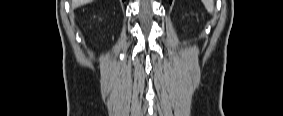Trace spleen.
<instances>
[{"label":"spleen","instance_id":"obj_1","mask_svg":"<svg viewBox=\"0 0 283 116\" xmlns=\"http://www.w3.org/2000/svg\"><path fill=\"white\" fill-rule=\"evenodd\" d=\"M205 7H206V9L209 13H213L214 8H213V1L212 0H208L205 3Z\"/></svg>","mask_w":283,"mask_h":116}]
</instances>
